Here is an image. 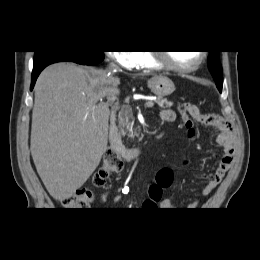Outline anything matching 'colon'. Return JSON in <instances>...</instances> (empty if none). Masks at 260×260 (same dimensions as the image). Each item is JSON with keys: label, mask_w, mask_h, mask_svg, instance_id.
I'll return each instance as SVG.
<instances>
[{"label": "colon", "mask_w": 260, "mask_h": 260, "mask_svg": "<svg viewBox=\"0 0 260 260\" xmlns=\"http://www.w3.org/2000/svg\"><path fill=\"white\" fill-rule=\"evenodd\" d=\"M180 112L185 127L188 130V137L193 138V120L199 114L198 107L190 102H185L180 106ZM123 167L121 159L112 150L105 154L103 164L94 176L96 186H103L112 173L119 172ZM173 182V171L170 168L160 169L155 176L154 182L149 186L148 201L158 202L163 191L171 186ZM93 202V193L89 189H80L76 193L63 199L62 203L69 209H87Z\"/></svg>", "instance_id": "colon-1"}]
</instances>
